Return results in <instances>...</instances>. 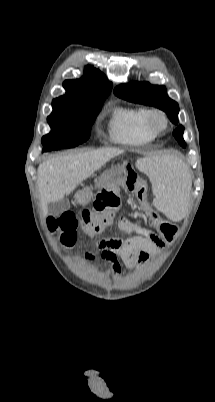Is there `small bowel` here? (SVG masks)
I'll return each mask as SVG.
<instances>
[{
    "label": "small bowel",
    "instance_id": "obj_1",
    "mask_svg": "<svg viewBox=\"0 0 215 402\" xmlns=\"http://www.w3.org/2000/svg\"><path fill=\"white\" fill-rule=\"evenodd\" d=\"M120 229L125 233L136 232L138 236L126 240L108 238L97 242L98 256L110 264L114 275H118L121 269L117 257L122 258L129 269H134L146 263L165 247L163 238L149 228L132 222L126 228ZM85 257L89 262L95 260V255L92 253H87Z\"/></svg>",
    "mask_w": 215,
    "mask_h": 402
}]
</instances>
